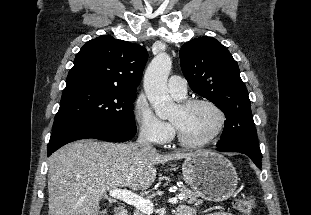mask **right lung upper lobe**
<instances>
[{"instance_id": "1", "label": "right lung upper lobe", "mask_w": 311, "mask_h": 215, "mask_svg": "<svg viewBox=\"0 0 311 215\" xmlns=\"http://www.w3.org/2000/svg\"><path fill=\"white\" fill-rule=\"evenodd\" d=\"M148 58L138 44L103 35L88 41L78 52L66 87L89 84L136 92Z\"/></svg>"}]
</instances>
